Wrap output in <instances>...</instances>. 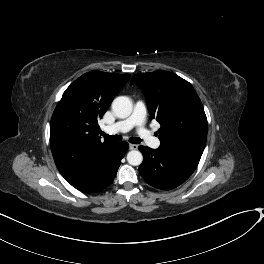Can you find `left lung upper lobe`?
<instances>
[{
	"instance_id": "left-lung-upper-lobe-1",
	"label": "left lung upper lobe",
	"mask_w": 264,
	"mask_h": 264,
	"mask_svg": "<svg viewBox=\"0 0 264 264\" xmlns=\"http://www.w3.org/2000/svg\"><path fill=\"white\" fill-rule=\"evenodd\" d=\"M130 84L143 90L151 119L161 125L158 149L200 160L207 140V118L192 85L167 71L136 74Z\"/></svg>"
}]
</instances>
